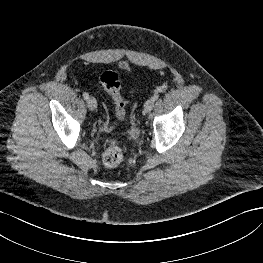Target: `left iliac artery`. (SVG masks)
I'll list each match as a JSON object with an SVG mask.
<instances>
[{
	"label": "left iliac artery",
	"instance_id": "1",
	"mask_svg": "<svg viewBox=\"0 0 263 263\" xmlns=\"http://www.w3.org/2000/svg\"><path fill=\"white\" fill-rule=\"evenodd\" d=\"M158 97L159 96L157 94H154L153 97H152L153 101H156L158 99Z\"/></svg>",
	"mask_w": 263,
	"mask_h": 263
}]
</instances>
